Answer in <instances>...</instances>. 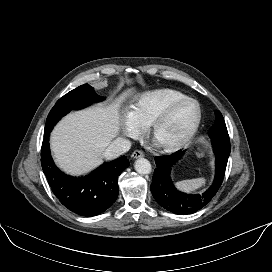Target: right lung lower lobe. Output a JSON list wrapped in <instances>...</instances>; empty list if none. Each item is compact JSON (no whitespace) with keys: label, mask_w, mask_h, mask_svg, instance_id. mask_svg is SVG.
<instances>
[{"label":"right lung lower lobe","mask_w":272,"mask_h":272,"mask_svg":"<svg viewBox=\"0 0 272 272\" xmlns=\"http://www.w3.org/2000/svg\"><path fill=\"white\" fill-rule=\"evenodd\" d=\"M49 134H45L41 149V164L48 183L59 201L81 216H96L117 199L118 176L129 166L126 156L104 163L90 175L74 178L62 173L54 164L49 148Z\"/></svg>","instance_id":"right-lung-lower-lobe-1"}]
</instances>
